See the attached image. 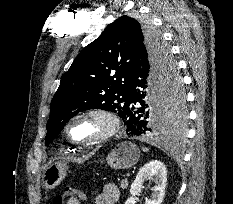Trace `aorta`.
<instances>
[{
    "mask_svg": "<svg viewBox=\"0 0 233 204\" xmlns=\"http://www.w3.org/2000/svg\"><path fill=\"white\" fill-rule=\"evenodd\" d=\"M153 108L155 109V111H159L161 109L159 105L154 106V104H153Z\"/></svg>",
    "mask_w": 233,
    "mask_h": 204,
    "instance_id": "762f6f07",
    "label": "aorta"
}]
</instances>
